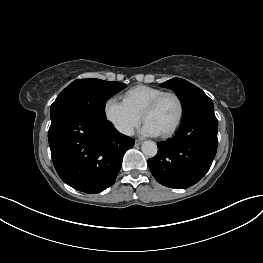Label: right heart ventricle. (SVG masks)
Listing matches in <instances>:
<instances>
[{
  "instance_id": "right-heart-ventricle-1",
  "label": "right heart ventricle",
  "mask_w": 263,
  "mask_h": 263,
  "mask_svg": "<svg viewBox=\"0 0 263 263\" xmlns=\"http://www.w3.org/2000/svg\"><path fill=\"white\" fill-rule=\"evenodd\" d=\"M163 92L164 90L160 88L139 85L126 91L123 101L132 111L141 116L145 106Z\"/></svg>"
}]
</instances>
